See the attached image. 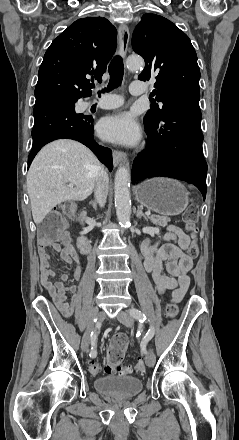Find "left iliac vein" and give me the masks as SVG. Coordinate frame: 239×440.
I'll use <instances>...</instances> for the list:
<instances>
[{"label": "left iliac vein", "mask_w": 239, "mask_h": 440, "mask_svg": "<svg viewBox=\"0 0 239 440\" xmlns=\"http://www.w3.org/2000/svg\"><path fill=\"white\" fill-rule=\"evenodd\" d=\"M117 318L126 327H131L133 325V318L131 317V315H129L128 313H126L124 311H120ZM145 361L149 367H153L155 365L156 356L152 350H149V352L145 358Z\"/></svg>", "instance_id": "1"}]
</instances>
